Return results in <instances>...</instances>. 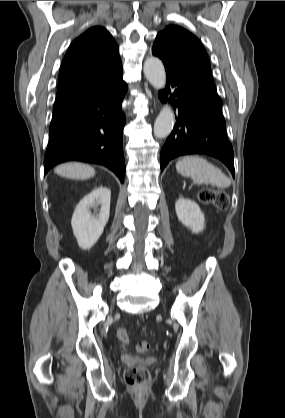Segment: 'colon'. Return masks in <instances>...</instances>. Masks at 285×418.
<instances>
[{"mask_svg":"<svg viewBox=\"0 0 285 418\" xmlns=\"http://www.w3.org/2000/svg\"><path fill=\"white\" fill-rule=\"evenodd\" d=\"M199 200L204 205H212L219 210H225L229 203V197L223 190L205 189L199 193ZM118 339L127 344L129 342L128 330L125 326L117 329ZM150 346L147 341L137 343L136 349L140 353L147 352ZM150 380V373L143 366H136L125 371V381L131 387H144Z\"/></svg>","mask_w":285,"mask_h":418,"instance_id":"colon-1","label":"colon"}]
</instances>
